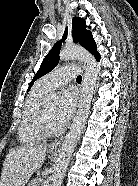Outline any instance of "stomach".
Wrapping results in <instances>:
<instances>
[{
  "instance_id": "1",
  "label": "stomach",
  "mask_w": 138,
  "mask_h": 186,
  "mask_svg": "<svg viewBox=\"0 0 138 186\" xmlns=\"http://www.w3.org/2000/svg\"><path fill=\"white\" fill-rule=\"evenodd\" d=\"M49 153L54 154L55 151L50 149V150H49Z\"/></svg>"
}]
</instances>
